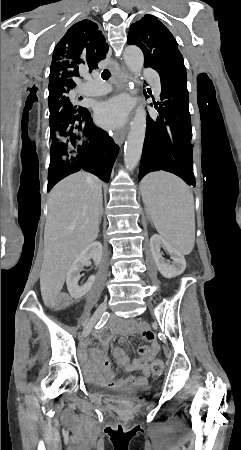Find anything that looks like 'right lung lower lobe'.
I'll use <instances>...</instances> for the list:
<instances>
[{"mask_svg": "<svg viewBox=\"0 0 241 450\" xmlns=\"http://www.w3.org/2000/svg\"><path fill=\"white\" fill-rule=\"evenodd\" d=\"M59 128L74 144L71 152L51 153L48 191L64 177L81 169L108 182L119 147L92 121L90 112L77 121H65Z\"/></svg>", "mask_w": 241, "mask_h": 450, "instance_id": "1", "label": "right lung lower lobe"}]
</instances>
